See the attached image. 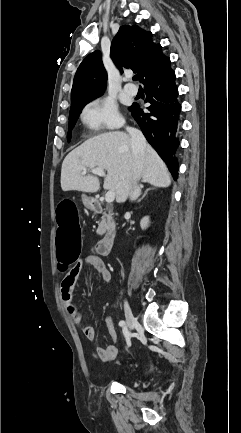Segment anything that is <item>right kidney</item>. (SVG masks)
Here are the masks:
<instances>
[{
  "mask_svg": "<svg viewBox=\"0 0 241 433\" xmlns=\"http://www.w3.org/2000/svg\"><path fill=\"white\" fill-rule=\"evenodd\" d=\"M149 217L145 216L144 218H142V220L140 221V226L142 228V230L146 229L149 226Z\"/></svg>",
  "mask_w": 241,
  "mask_h": 433,
  "instance_id": "ca27d5eb",
  "label": "right kidney"
}]
</instances>
